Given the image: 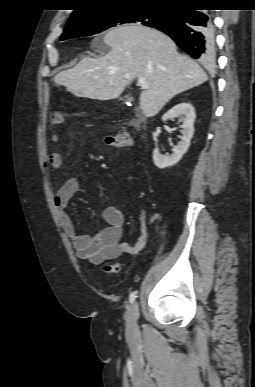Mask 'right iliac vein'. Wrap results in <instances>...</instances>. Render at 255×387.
<instances>
[{
    "label": "right iliac vein",
    "mask_w": 255,
    "mask_h": 387,
    "mask_svg": "<svg viewBox=\"0 0 255 387\" xmlns=\"http://www.w3.org/2000/svg\"><path fill=\"white\" fill-rule=\"evenodd\" d=\"M139 317V307L138 303L135 302L128 309L125 320H126V330L129 336L136 334L137 332V320Z\"/></svg>",
    "instance_id": "1"
}]
</instances>
